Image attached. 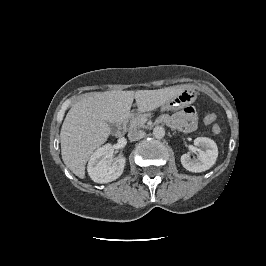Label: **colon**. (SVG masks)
I'll return each mask as SVG.
<instances>
[{
  "instance_id": "5ec220e1",
  "label": "colon",
  "mask_w": 266,
  "mask_h": 266,
  "mask_svg": "<svg viewBox=\"0 0 266 266\" xmlns=\"http://www.w3.org/2000/svg\"><path fill=\"white\" fill-rule=\"evenodd\" d=\"M215 120H216V116L212 113H209L204 117V123L207 125H212L213 133L218 134L220 133L221 129L217 124H215Z\"/></svg>"
}]
</instances>
